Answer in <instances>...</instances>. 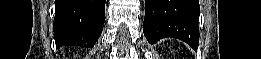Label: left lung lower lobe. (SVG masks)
<instances>
[{"label":"left lung lower lobe","instance_id":"obj_1","mask_svg":"<svg viewBox=\"0 0 261 59\" xmlns=\"http://www.w3.org/2000/svg\"><path fill=\"white\" fill-rule=\"evenodd\" d=\"M199 12L198 0H145L143 33L151 44L174 37L196 50Z\"/></svg>","mask_w":261,"mask_h":59}]
</instances>
